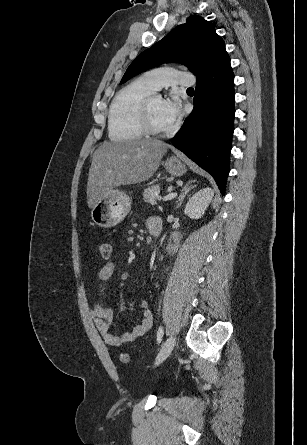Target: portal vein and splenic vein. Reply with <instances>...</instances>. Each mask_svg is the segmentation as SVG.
Instances as JSON below:
<instances>
[{
    "label": "portal vein and splenic vein",
    "mask_w": 307,
    "mask_h": 445,
    "mask_svg": "<svg viewBox=\"0 0 307 445\" xmlns=\"http://www.w3.org/2000/svg\"><path fill=\"white\" fill-rule=\"evenodd\" d=\"M175 196H177V192H170V194L164 196L163 200H171V198H175Z\"/></svg>",
    "instance_id": "18ae733b"
}]
</instances>
